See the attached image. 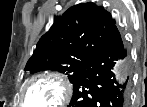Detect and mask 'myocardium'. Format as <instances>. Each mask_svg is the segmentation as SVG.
I'll return each mask as SVG.
<instances>
[{
	"mask_svg": "<svg viewBox=\"0 0 147 107\" xmlns=\"http://www.w3.org/2000/svg\"><path fill=\"white\" fill-rule=\"evenodd\" d=\"M50 81L58 86L60 97L53 105L49 107H62L67 104L72 94L71 83L60 73L57 72H43L32 77L22 90V103L27 104V93L29 89L37 82Z\"/></svg>",
	"mask_w": 147,
	"mask_h": 107,
	"instance_id": "myocardium-1",
	"label": "myocardium"
}]
</instances>
